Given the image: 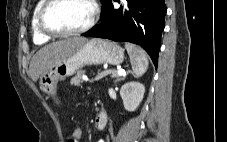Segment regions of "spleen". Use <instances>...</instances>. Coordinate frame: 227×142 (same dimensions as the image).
Returning <instances> with one entry per match:
<instances>
[{
	"mask_svg": "<svg viewBox=\"0 0 227 142\" xmlns=\"http://www.w3.org/2000/svg\"><path fill=\"white\" fill-rule=\"evenodd\" d=\"M125 48L130 57L134 75L136 77L142 76L149 66L146 52L142 48L130 43H126Z\"/></svg>",
	"mask_w": 227,
	"mask_h": 142,
	"instance_id": "3e777b00",
	"label": "spleen"
}]
</instances>
